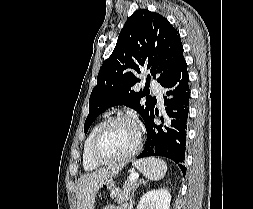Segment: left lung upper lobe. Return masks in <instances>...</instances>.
Segmentation results:
<instances>
[{
    "instance_id": "left-lung-upper-lobe-1",
    "label": "left lung upper lobe",
    "mask_w": 253,
    "mask_h": 209,
    "mask_svg": "<svg viewBox=\"0 0 253 209\" xmlns=\"http://www.w3.org/2000/svg\"><path fill=\"white\" fill-rule=\"evenodd\" d=\"M184 59L177 30L163 16L143 9L135 11L121 30L110 57L103 63L97 85L89 99V115L84 124L87 133L91 124L106 109L126 105L137 111L145 125L152 119L156 98L132 87L140 81L142 69L162 84L177 64ZM146 96V103L141 98Z\"/></svg>"
}]
</instances>
